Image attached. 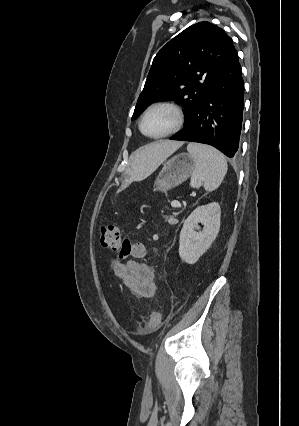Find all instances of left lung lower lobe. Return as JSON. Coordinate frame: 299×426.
I'll list each match as a JSON object with an SVG mask.
<instances>
[{"mask_svg": "<svg viewBox=\"0 0 299 426\" xmlns=\"http://www.w3.org/2000/svg\"><path fill=\"white\" fill-rule=\"evenodd\" d=\"M244 85L237 51L221 69L183 130L171 140L211 145L237 155L244 108Z\"/></svg>", "mask_w": 299, "mask_h": 426, "instance_id": "left-lung-lower-lobe-1", "label": "left lung lower lobe"}]
</instances>
